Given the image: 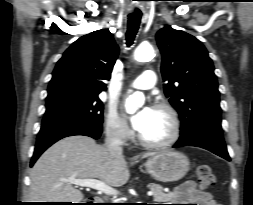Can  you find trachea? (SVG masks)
<instances>
[{
	"mask_svg": "<svg viewBox=\"0 0 253 205\" xmlns=\"http://www.w3.org/2000/svg\"><path fill=\"white\" fill-rule=\"evenodd\" d=\"M141 21V13L130 14L128 17V28L126 32V44L131 46L136 37Z\"/></svg>",
	"mask_w": 253,
	"mask_h": 205,
	"instance_id": "3493384b",
	"label": "trachea"
}]
</instances>
